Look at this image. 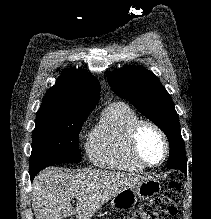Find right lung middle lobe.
<instances>
[{
    "label": "right lung middle lobe",
    "instance_id": "dd1d6c3e",
    "mask_svg": "<svg viewBox=\"0 0 211 219\" xmlns=\"http://www.w3.org/2000/svg\"><path fill=\"white\" fill-rule=\"evenodd\" d=\"M87 114L54 115L39 109L32 132L30 178L43 168L56 164L79 162V131Z\"/></svg>",
    "mask_w": 211,
    "mask_h": 219
}]
</instances>
